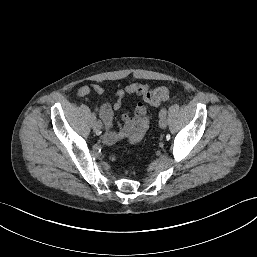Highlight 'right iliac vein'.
I'll return each mask as SVG.
<instances>
[{
  "label": "right iliac vein",
  "mask_w": 257,
  "mask_h": 257,
  "mask_svg": "<svg viewBox=\"0 0 257 257\" xmlns=\"http://www.w3.org/2000/svg\"><path fill=\"white\" fill-rule=\"evenodd\" d=\"M102 128V123L100 121H96L93 123V130L96 134H99Z\"/></svg>",
  "instance_id": "obj_1"
}]
</instances>
